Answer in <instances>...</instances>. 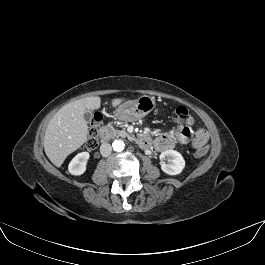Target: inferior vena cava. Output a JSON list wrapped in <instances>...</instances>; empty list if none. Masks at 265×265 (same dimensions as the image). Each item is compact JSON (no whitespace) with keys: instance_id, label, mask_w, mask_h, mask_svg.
Returning a JSON list of instances; mask_svg holds the SVG:
<instances>
[{"instance_id":"1","label":"inferior vena cava","mask_w":265,"mask_h":265,"mask_svg":"<svg viewBox=\"0 0 265 265\" xmlns=\"http://www.w3.org/2000/svg\"><path fill=\"white\" fill-rule=\"evenodd\" d=\"M112 152V147L109 143H102L100 146V153L103 157H108Z\"/></svg>"}]
</instances>
